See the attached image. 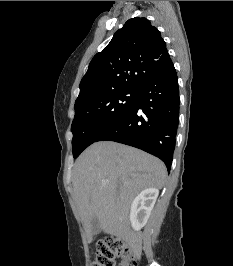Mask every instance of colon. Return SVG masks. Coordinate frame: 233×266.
<instances>
[{
    "label": "colon",
    "mask_w": 233,
    "mask_h": 266,
    "mask_svg": "<svg viewBox=\"0 0 233 266\" xmlns=\"http://www.w3.org/2000/svg\"><path fill=\"white\" fill-rule=\"evenodd\" d=\"M117 258H121L119 266H138V254L120 238H106L97 242L96 260L92 266H115Z\"/></svg>",
    "instance_id": "colon-1"
}]
</instances>
